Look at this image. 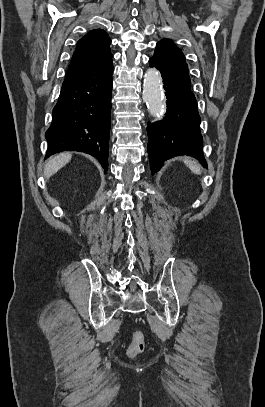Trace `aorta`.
<instances>
[{"instance_id":"762f6f07","label":"aorta","mask_w":265,"mask_h":407,"mask_svg":"<svg viewBox=\"0 0 265 407\" xmlns=\"http://www.w3.org/2000/svg\"><path fill=\"white\" fill-rule=\"evenodd\" d=\"M143 101L153 117H161L165 111L162 77L156 68H149L144 76Z\"/></svg>"}]
</instances>
